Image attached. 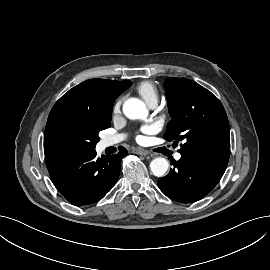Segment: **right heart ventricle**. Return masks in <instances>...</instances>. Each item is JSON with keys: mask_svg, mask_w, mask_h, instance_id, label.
Wrapping results in <instances>:
<instances>
[{"mask_svg": "<svg viewBox=\"0 0 270 270\" xmlns=\"http://www.w3.org/2000/svg\"><path fill=\"white\" fill-rule=\"evenodd\" d=\"M139 95L149 105L151 102L158 101L159 93L156 86L150 81L140 82L136 87Z\"/></svg>", "mask_w": 270, "mask_h": 270, "instance_id": "obj_1", "label": "right heart ventricle"}]
</instances>
